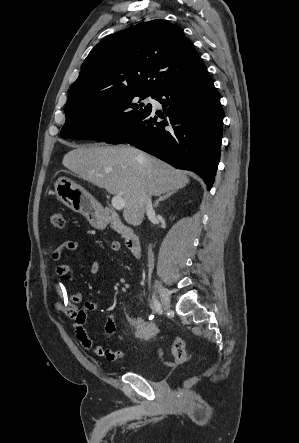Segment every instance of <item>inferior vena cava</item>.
Wrapping results in <instances>:
<instances>
[{"mask_svg":"<svg viewBox=\"0 0 299 443\" xmlns=\"http://www.w3.org/2000/svg\"><path fill=\"white\" fill-rule=\"evenodd\" d=\"M144 204H145V210H146L147 214L153 212V206H152L150 193L147 196H144Z\"/></svg>","mask_w":299,"mask_h":443,"instance_id":"602c4592","label":"inferior vena cava"}]
</instances>
